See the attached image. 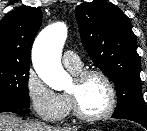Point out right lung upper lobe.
<instances>
[{
	"mask_svg": "<svg viewBox=\"0 0 147 131\" xmlns=\"http://www.w3.org/2000/svg\"><path fill=\"white\" fill-rule=\"evenodd\" d=\"M42 22L39 7L21 6L0 21V62L30 65L31 47Z\"/></svg>",
	"mask_w": 147,
	"mask_h": 131,
	"instance_id": "1",
	"label": "right lung upper lobe"
}]
</instances>
